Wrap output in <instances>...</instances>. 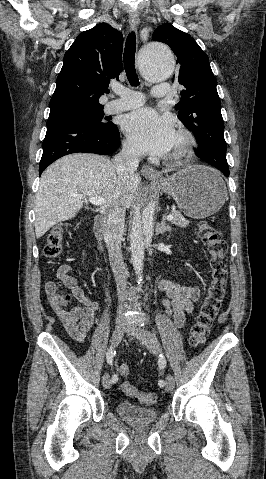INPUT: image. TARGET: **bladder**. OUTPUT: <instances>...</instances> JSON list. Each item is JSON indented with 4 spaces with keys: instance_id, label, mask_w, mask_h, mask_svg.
<instances>
[{
    "instance_id": "1",
    "label": "bladder",
    "mask_w": 266,
    "mask_h": 479,
    "mask_svg": "<svg viewBox=\"0 0 266 479\" xmlns=\"http://www.w3.org/2000/svg\"><path fill=\"white\" fill-rule=\"evenodd\" d=\"M116 411L122 420L130 424H150L158 418L155 408L138 406L129 401L118 402Z\"/></svg>"
}]
</instances>
